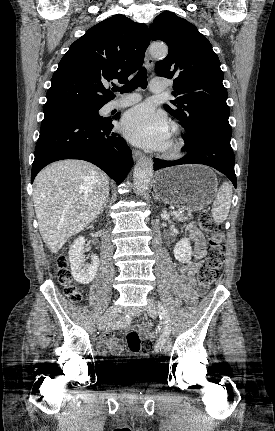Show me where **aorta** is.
Returning a JSON list of instances; mask_svg holds the SVG:
<instances>
[{"label": "aorta", "mask_w": 275, "mask_h": 431, "mask_svg": "<svg viewBox=\"0 0 275 431\" xmlns=\"http://www.w3.org/2000/svg\"><path fill=\"white\" fill-rule=\"evenodd\" d=\"M150 53L155 58H164L168 53L165 45L153 44ZM153 175V161L151 158L142 157L136 164L133 172L135 189L143 194L149 187Z\"/></svg>", "instance_id": "1"}]
</instances>
